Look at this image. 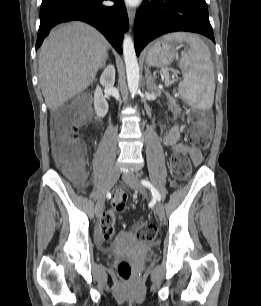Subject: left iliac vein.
Returning <instances> with one entry per match:
<instances>
[{
  "label": "left iliac vein",
  "instance_id": "left-iliac-vein-1",
  "mask_svg": "<svg viewBox=\"0 0 261 306\" xmlns=\"http://www.w3.org/2000/svg\"><path fill=\"white\" fill-rule=\"evenodd\" d=\"M123 180L128 184L131 189L139 192L143 196L146 195L145 188L140 183L139 178L136 174H125L123 175ZM154 211L160 219L164 217V206L162 205V203L157 202L154 206Z\"/></svg>",
  "mask_w": 261,
  "mask_h": 306
}]
</instances>
